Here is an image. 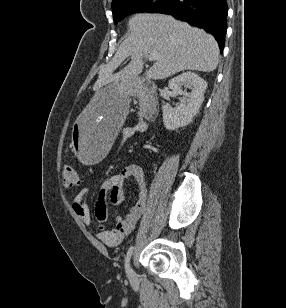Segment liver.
<instances>
[{
    "mask_svg": "<svg viewBox=\"0 0 286 308\" xmlns=\"http://www.w3.org/2000/svg\"><path fill=\"white\" fill-rule=\"evenodd\" d=\"M128 26L130 33L113 59L100 67L94 91L114 82L130 83L142 72L143 59L152 51L160 55L147 72L154 80L184 70L211 72L218 65V44L212 35L201 29L162 14H137L129 20ZM129 56L130 63L113 73Z\"/></svg>",
    "mask_w": 286,
    "mask_h": 308,
    "instance_id": "liver-1",
    "label": "liver"
}]
</instances>
